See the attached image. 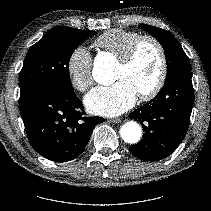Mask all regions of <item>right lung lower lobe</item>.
<instances>
[{
    "label": "right lung lower lobe",
    "instance_id": "98d812e1",
    "mask_svg": "<svg viewBox=\"0 0 211 211\" xmlns=\"http://www.w3.org/2000/svg\"><path fill=\"white\" fill-rule=\"evenodd\" d=\"M20 113L31 146L55 162L76 158L86 147L101 117H84V108L73 93L38 87L20 95Z\"/></svg>",
    "mask_w": 211,
    "mask_h": 211
}]
</instances>
